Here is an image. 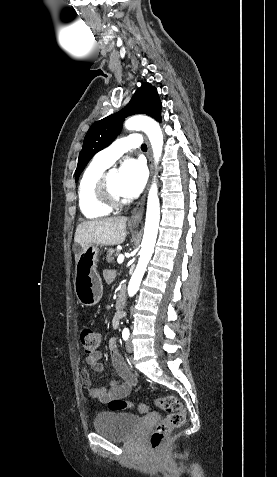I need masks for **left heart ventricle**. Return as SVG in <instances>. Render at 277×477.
Masks as SVG:
<instances>
[{
    "mask_svg": "<svg viewBox=\"0 0 277 477\" xmlns=\"http://www.w3.org/2000/svg\"><path fill=\"white\" fill-rule=\"evenodd\" d=\"M109 185L111 191L117 195V196H122L121 191H120V178H119V173L117 172H111L109 175Z\"/></svg>",
    "mask_w": 277,
    "mask_h": 477,
    "instance_id": "1",
    "label": "left heart ventricle"
}]
</instances>
